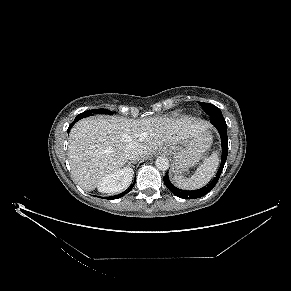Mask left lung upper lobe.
I'll return each mask as SVG.
<instances>
[{
  "mask_svg": "<svg viewBox=\"0 0 291 291\" xmlns=\"http://www.w3.org/2000/svg\"><path fill=\"white\" fill-rule=\"evenodd\" d=\"M200 106L203 110L210 116V118H223L221 110L213 104L199 102ZM184 196L187 198H191L192 195L190 192H183Z\"/></svg>",
  "mask_w": 291,
  "mask_h": 291,
  "instance_id": "1",
  "label": "left lung upper lobe"
}]
</instances>
